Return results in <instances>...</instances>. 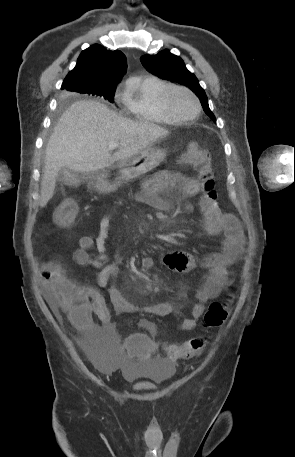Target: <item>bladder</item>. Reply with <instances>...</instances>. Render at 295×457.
I'll return each instance as SVG.
<instances>
[{"label":"bladder","mask_w":295,"mask_h":457,"mask_svg":"<svg viewBox=\"0 0 295 457\" xmlns=\"http://www.w3.org/2000/svg\"><path fill=\"white\" fill-rule=\"evenodd\" d=\"M117 338H77V347H84V356L101 371H111L118 366ZM150 359L148 366H137L135 361H125L120 367L123 378L129 383L160 385L171 378L172 364L165 359Z\"/></svg>","instance_id":"bladder-1"}]
</instances>
